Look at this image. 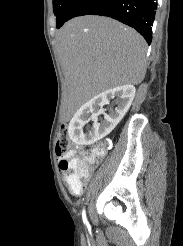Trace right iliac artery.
<instances>
[{
    "instance_id": "82829eb1",
    "label": "right iliac artery",
    "mask_w": 183,
    "mask_h": 246,
    "mask_svg": "<svg viewBox=\"0 0 183 246\" xmlns=\"http://www.w3.org/2000/svg\"><path fill=\"white\" fill-rule=\"evenodd\" d=\"M82 219H83V222L86 226H88V221H87V218H86V212H85V209H83L82 211Z\"/></svg>"
}]
</instances>
